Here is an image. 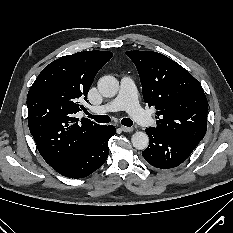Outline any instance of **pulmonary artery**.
<instances>
[{
  "mask_svg": "<svg viewBox=\"0 0 233 233\" xmlns=\"http://www.w3.org/2000/svg\"><path fill=\"white\" fill-rule=\"evenodd\" d=\"M126 110L138 123L144 126H151L153 118L148 115L138 104L137 91L134 81L129 76L121 79L120 90L118 95L109 103L91 108L94 114H105Z\"/></svg>",
  "mask_w": 233,
  "mask_h": 233,
  "instance_id": "obj_1",
  "label": "pulmonary artery"
}]
</instances>
